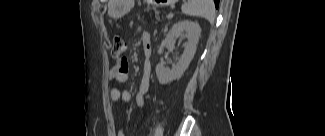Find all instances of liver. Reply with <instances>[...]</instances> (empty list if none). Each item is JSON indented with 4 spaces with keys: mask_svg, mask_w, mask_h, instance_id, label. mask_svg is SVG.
Segmentation results:
<instances>
[{
    "mask_svg": "<svg viewBox=\"0 0 325 136\" xmlns=\"http://www.w3.org/2000/svg\"><path fill=\"white\" fill-rule=\"evenodd\" d=\"M108 7H109V11H108L109 16L114 17L112 14L113 0H109Z\"/></svg>",
    "mask_w": 325,
    "mask_h": 136,
    "instance_id": "liver-1",
    "label": "liver"
}]
</instances>
